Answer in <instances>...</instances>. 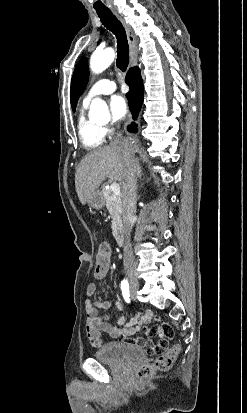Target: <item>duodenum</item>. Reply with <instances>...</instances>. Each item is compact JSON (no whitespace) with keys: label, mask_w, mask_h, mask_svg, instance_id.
Here are the masks:
<instances>
[{"label":"duodenum","mask_w":247,"mask_h":413,"mask_svg":"<svg viewBox=\"0 0 247 413\" xmlns=\"http://www.w3.org/2000/svg\"><path fill=\"white\" fill-rule=\"evenodd\" d=\"M113 238L117 245H122L124 243V232L121 229H115L112 232Z\"/></svg>","instance_id":"obj_1"}]
</instances>
